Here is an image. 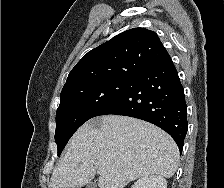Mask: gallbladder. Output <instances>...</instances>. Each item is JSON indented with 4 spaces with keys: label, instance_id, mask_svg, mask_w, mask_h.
<instances>
[{
    "label": "gallbladder",
    "instance_id": "bac80fb5",
    "mask_svg": "<svg viewBox=\"0 0 224 188\" xmlns=\"http://www.w3.org/2000/svg\"><path fill=\"white\" fill-rule=\"evenodd\" d=\"M87 186H88V188H95L96 182H90Z\"/></svg>",
    "mask_w": 224,
    "mask_h": 188
}]
</instances>
